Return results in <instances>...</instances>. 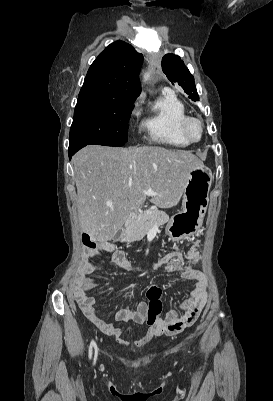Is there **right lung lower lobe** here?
I'll list each match as a JSON object with an SVG mask.
<instances>
[{"label": "right lung lower lobe", "mask_w": 273, "mask_h": 401, "mask_svg": "<svg viewBox=\"0 0 273 401\" xmlns=\"http://www.w3.org/2000/svg\"><path fill=\"white\" fill-rule=\"evenodd\" d=\"M86 145H89V144H73V145H69V151H68V154H69V159H71V157L78 151V150H80L81 148H83V147H85Z\"/></svg>", "instance_id": "right-lung-lower-lobe-1"}]
</instances>
